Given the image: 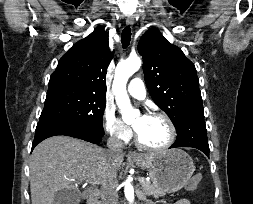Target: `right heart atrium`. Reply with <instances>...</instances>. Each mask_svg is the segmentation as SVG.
Returning a JSON list of instances; mask_svg holds the SVG:
<instances>
[{"mask_svg":"<svg viewBox=\"0 0 253 204\" xmlns=\"http://www.w3.org/2000/svg\"><path fill=\"white\" fill-rule=\"evenodd\" d=\"M103 127L112 139L127 142L132 137L131 129L115 114L111 108H106L103 115Z\"/></svg>","mask_w":253,"mask_h":204,"instance_id":"right-heart-atrium-1","label":"right heart atrium"}]
</instances>
